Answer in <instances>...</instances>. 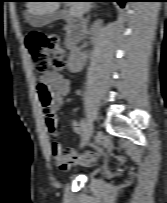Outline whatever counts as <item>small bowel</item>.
<instances>
[{
	"instance_id": "1",
	"label": "small bowel",
	"mask_w": 167,
	"mask_h": 203,
	"mask_svg": "<svg viewBox=\"0 0 167 203\" xmlns=\"http://www.w3.org/2000/svg\"><path fill=\"white\" fill-rule=\"evenodd\" d=\"M41 80L46 82L53 92V100L48 109L43 111V115L51 139L50 152L55 164L60 170H67L73 165L92 164L96 162L101 151L99 147L91 145L93 148L92 151L79 155L73 148L63 150L57 141V117L55 113L64 106V97L70 91L69 79L57 72H46L42 75ZM71 127L74 133L77 135L80 134L81 123L79 121L73 120Z\"/></svg>"
}]
</instances>
